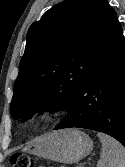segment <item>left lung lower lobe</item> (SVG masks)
<instances>
[{
    "label": "left lung lower lobe",
    "instance_id": "left-lung-lower-lobe-1",
    "mask_svg": "<svg viewBox=\"0 0 125 167\" xmlns=\"http://www.w3.org/2000/svg\"><path fill=\"white\" fill-rule=\"evenodd\" d=\"M54 129L106 133L125 146V40L117 17L102 39L87 76Z\"/></svg>",
    "mask_w": 125,
    "mask_h": 167
}]
</instances>
